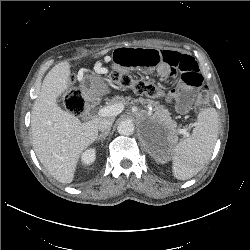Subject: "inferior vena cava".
<instances>
[{"label": "inferior vena cava", "instance_id": "obj_1", "mask_svg": "<svg viewBox=\"0 0 250 250\" xmlns=\"http://www.w3.org/2000/svg\"><path fill=\"white\" fill-rule=\"evenodd\" d=\"M114 122L113 118H102L98 123V129L101 132H107L110 131L111 126Z\"/></svg>", "mask_w": 250, "mask_h": 250}]
</instances>
